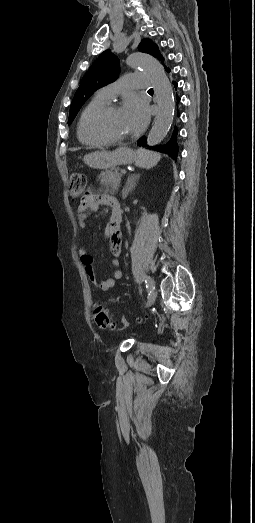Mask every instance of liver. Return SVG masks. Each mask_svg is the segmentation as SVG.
I'll return each instance as SVG.
<instances>
[{
    "mask_svg": "<svg viewBox=\"0 0 255 523\" xmlns=\"http://www.w3.org/2000/svg\"><path fill=\"white\" fill-rule=\"evenodd\" d=\"M102 154H111V152H102ZM96 152L94 154H88V156H85L84 162L87 164V166H90V168H96L97 160H96Z\"/></svg>",
    "mask_w": 255,
    "mask_h": 523,
    "instance_id": "6515ba94",
    "label": "liver"
}]
</instances>
